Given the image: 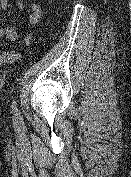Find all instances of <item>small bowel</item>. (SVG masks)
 Segmentation results:
<instances>
[{
    "label": "small bowel",
    "mask_w": 131,
    "mask_h": 177,
    "mask_svg": "<svg viewBox=\"0 0 131 177\" xmlns=\"http://www.w3.org/2000/svg\"><path fill=\"white\" fill-rule=\"evenodd\" d=\"M17 4L21 9H25V4L23 0H17ZM0 8L3 12H7L9 8V0H0ZM30 12L27 16V21L30 25H36L41 16H42V9L41 7L34 2H31L29 5ZM19 38V33L16 28L14 27H2L0 28V39H6L8 41H16ZM32 36L28 35L25 38L26 42L31 40ZM20 58V53L13 49H8L0 52V65L3 63L13 62Z\"/></svg>",
    "instance_id": "small-bowel-1"
}]
</instances>
